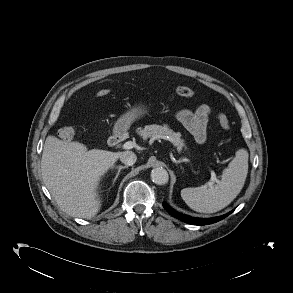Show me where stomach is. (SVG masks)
Wrapping results in <instances>:
<instances>
[{"label": "stomach", "mask_w": 293, "mask_h": 293, "mask_svg": "<svg viewBox=\"0 0 293 293\" xmlns=\"http://www.w3.org/2000/svg\"><path fill=\"white\" fill-rule=\"evenodd\" d=\"M146 113V107L141 102L136 103L117 120L114 132L118 134L126 132L133 122L143 117Z\"/></svg>", "instance_id": "0dacf381"}]
</instances>
